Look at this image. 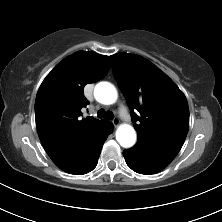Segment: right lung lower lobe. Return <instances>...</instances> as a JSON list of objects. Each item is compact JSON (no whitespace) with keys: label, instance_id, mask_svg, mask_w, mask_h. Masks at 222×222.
<instances>
[{"label":"right lung lower lobe","instance_id":"98d812e1","mask_svg":"<svg viewBox=\"0 0 222 222\" xmlns=\"http://www.w3.org/2000/svg\"><path fill=\"white\" fill-rule=\"evenodd\" d=\"M112 129L113 125L107 127L100 134H97L90 140L89 151L85 157H82L80 162L76 164L74 162L70 164H63L60 166V169L75 175L86 174L92 171L97 165L103 143L107 139L108 135L112 133Z\"/></svg>","mask_w":222,"mask_h":222}]
</instances>
